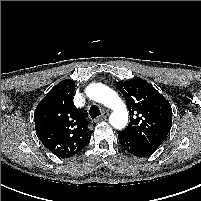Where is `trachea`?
<instances>
[{"instance_id": "obj_1", "label": "trachea", "mask_w": 201, "mask_h": 201, "mask_svg": "<svg viewBox=\"0 0 201 201\" xmlns=\"http://www.w3.org/2000/svg\"><path fill=\"white\" fill-rule=\"evenodd\" d=\"M89 114L92 119L98 117L101 114L99 107L97 105H92L90 107Z\"/></svg>"}]
</instances>
